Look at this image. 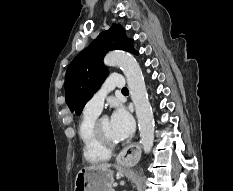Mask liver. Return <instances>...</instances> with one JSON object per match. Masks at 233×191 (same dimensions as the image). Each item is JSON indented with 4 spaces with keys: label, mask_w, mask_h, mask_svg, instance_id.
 <instances>
[{
    "label": "liver",
    "mask_w": 233,
    "mask_h": 191,
    "mask_svg": "<svg viewBox=\"0 0 233 191\" xmlns=\"http://www.w3.org/2000/svg\"><path fill=\"white\" fill-rule=\"evenodd\" d=\"M111 167V164L108 163H103V164H98V165H92L87 168L91 169H109Z\"/></svg>",
    "instance_id": "6515ba94"
}]
</instances>
